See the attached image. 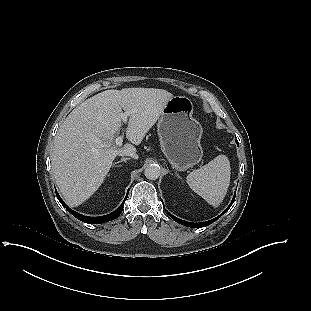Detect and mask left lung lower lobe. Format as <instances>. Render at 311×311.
<instances>
[{
    "label": "left lung lower lobe",
    "instance_id": "1",
    "mask_svg": "<svg viewBox=\"0 0 311 311\" xmlns=\"http://www.w3.org/2000/svg\"><path fill=\"white\" fill-rule=\"evenodd\" d=\"M234 199L235 197L233 198L232 202L230 203V205L228 206V208L219 216H217L216 218L212 219V220H209V221H205V222H200V223H191V222H187V221H184V220H181L171 214H169L171 216V218L181 224V225H184V226H188V227H191V228H198V227H205V226H208L210 225L211 223H213L214 221H216L220 216H222L230 207L231 205L233 204L234 202Z\"/></svg>",
    "mask_w": 311,
    "mask_h": 311
}]
</instances>
